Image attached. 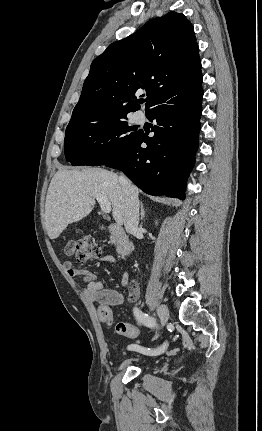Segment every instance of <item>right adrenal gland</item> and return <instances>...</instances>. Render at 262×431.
Listing matches in <instances>:
<instances>
[{"label":"right adrenal gland","mask_w":262,"mask_h":431,"mask_svg":"<svg viewBox=\"0 0 262 431\" xmlns=\"http://www.w3.org/2000/svg\"><path fill=\"white\" fill-rule=\"evenodd\" d=\"M140 208H141V217H140V219L143 220L144 217H145V210H144V206H143L142 202H140Z\"/></svg>","instance_id":"obj_1"}]
</instances>
